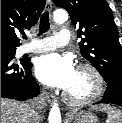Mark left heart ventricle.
I'll list each match as a JSON object with an SVG mask.
<instances>
[{
    "label": "left heart ventricle",
    "mask_w": 122,
    "mask_h": 123,
    "mask_svg": "<svg viewBox=\"0 0 122 123\" xmlns=\"http://www.w3.org/2000/svg\"><path fill=\"white\" fill-rule=\"evenodd\" d=\"M95 87V79L93 75L85 70L76 71V76L73 84L67 90L69 94L80 98L89 95Z\"/></svg>",
    "instance_id": "b2bd125f"
}]
</instances>
